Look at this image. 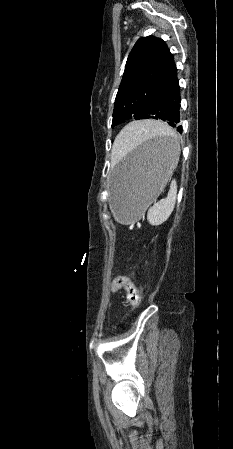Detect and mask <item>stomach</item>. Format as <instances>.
<instances>
[{
  "label": "stomach",
  "mask_w": 233,
  "mask_h": 449,
  "mask_svg": "<svg viewBox=\"0 0 233 449\" xmlns=\"http://www.w3.org/2000/svg\"><path fill=\"white\" fill-rule=\"evenodd\" d=\"M178 154L176 139L162 136L116 165L110 181L111 209L116 220L126 224L142 217L164 189Z\"/></svg>",
  "instance_id": "1"
}]
</instances>
